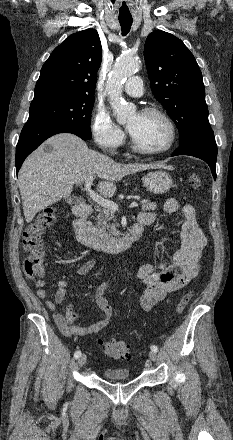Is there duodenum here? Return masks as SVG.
Here are the masks:
<instances>
[{"label": "duodenum", "mask_w": 233, "mask_h": 440, "mask_svg": "<svg viewBox=\"0 0 233 440\" xmlns=\"http://www.w3.org/2000/svg\"><path fill=\"white\" fill-rule=\"evenodd\" d=\"M92 214L93 208L91 205L85 202L75 205L74 236L79 243L87 247L108 252H120L130 248L140 239L144 227L151 224L150 220L138 219L125 234L115 238H103L96 235L87 223V218Z\"/></svg>", "instance_id": "410a0bca"}]
</instances>
